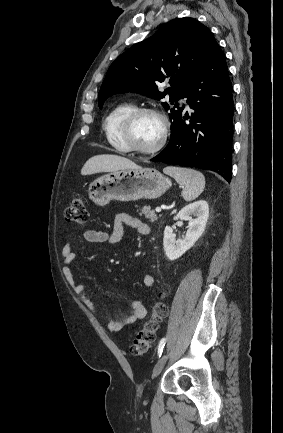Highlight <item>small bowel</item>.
Listing matches in <instances>:
<instances>
[{
	"label": "small bowel",
	"mask_w": 283,
	"mask_h": 433,
	"mask_svg": "<svg viewBox=\"0 0 283 433\" xmlns=\"http://www.w3.org/2000/svg\"><path fill=\"white\" fill-rule=\"evenodd\" d=\"M126 226L136 229L142 235H148L150 233L149 226L137 217L131 216L127 213H118L114 218L111 232L102 229H88L83 232L82 236L85 241L90 243L108 242L109 244L115 245L122 240L124 236V228ZM61 256L63 259L62 272L67 283L72 288L77 298H79L90 311L95 312L97 310L96 305L87 295L85 287L76 282L72 272L71 265L74 262L76 255L69 242L64 244ZM142 284L146 288L152 287L154 284V277L151 274L144 275L142 278ZM130 308V314L124 316L122 319H108L107 328L110 332H120L125 326L131 325L146 316V308L141 301L133 300L130 303Z\"/></svg>",
	"instance_id": "c3829d8e"
}]
</instances>
